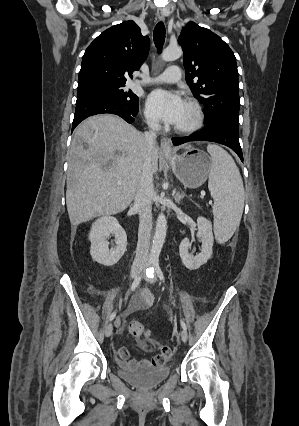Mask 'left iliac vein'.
<instances>
[{"label":"left iliac vein","instance_id":"1","mask_svg":"<svg viewBox=\"0 0 299 426\" xmlns=\"http://www.w3.org/2000/svg\"><path fill=\"white\" fill-rule=\"evenodd\" d=\"M148 271H151L152 272V275H151V277H145V280L147 281V282H149V283H155L156 281H157V278H156V276H155V274H154V272H153V270H152V268H149V269H147ZM181 339H182V341L183 342H186L187 340H188V334H187V331L186 330H182L181 331Z\"/></svg>","mask_w":299,"mask_h":426}]
</instances>
